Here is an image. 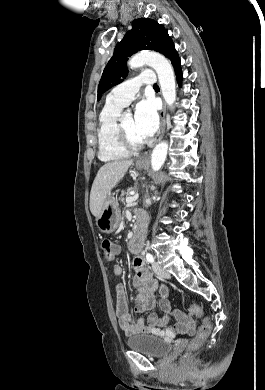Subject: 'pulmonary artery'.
<instances>
[{"mask_svg": "<svg viewBox=\"0 0 265 390\" xmlns=\"http://www.w3.org/2000/svg\"><path fill=\"white\" fill-rule=\"evenodd\" d=\"M155 82L154 72L146 70L115 87L107 96V102L125 107L134 100L141 85H153Z\"/></svg>", "mask_w": 265, "mask_h": 390, "instance_id": "obj_1", "label": "pulmonary artery"}]
</instances>
